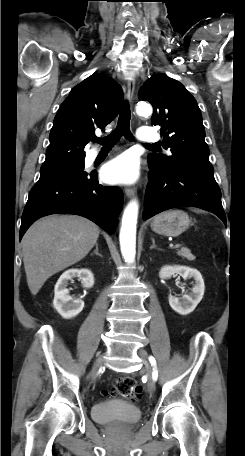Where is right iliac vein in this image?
Returning <instances> with one entry per match:
<instances>
[{"label":"right iliac vein","instance_id":"1","mask_svg":"<svg viewBox=\"0 0 245 456\" xmlns=\"http://www.w3.org/2000/svg\"><path fill=\"white\" fill-rule=\"evenodd\" d=\"M102 363H103V357H102V356H99V357L96 359V362H95V368H94V373H93V380L96 379L97 371H98V369L101 367Z\"/></svg>","mask_w":245,"mask_h":456}]
</instances>
